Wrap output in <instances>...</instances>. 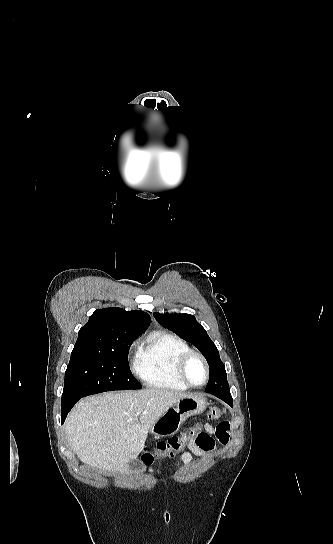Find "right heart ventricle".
Returning a JSON list of instances; mask_svg holds the SVG:
<instances>
[{"mask_svg": "<svg viewBox=\"0 0 333 544\" xmlns=\"http://www.w3.org/2000/svg\"><path fill=\"white\" fill-rule=\"evenodd\" d=\"M191 351L179 336L166 332H153L140 344L135 372L148 387L163 390L184 391V385L176 375V364L184 353Z\"/></svg>", "mask_w": 333, "mask_h": 544, "instance_id": "right-heart-ventricle-1", "label": "right heart ventricle"}]
</instances>
